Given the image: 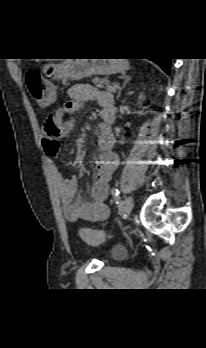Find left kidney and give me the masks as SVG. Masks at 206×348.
Returning <instances> with one entry per match:
<instances>
[{"mask_svg":"<svg viewBox=\"0 0 206 348\" xmlns=\"http://www.w3.org/2000/svg\"><path fill=\"white\" fill-rule=\"evenodd\" d=\"M145 100V96L143 94H140L138 97V104H142V102Z\"/></svg>","mask_w":206,"mask_h":348,"instance_id":"left-kidney-1","label":"left kidney"}]
</instances>
